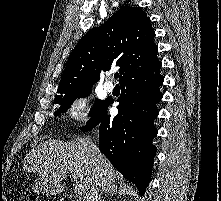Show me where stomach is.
Returning <instances> with one entry per match:
<instances>
[{"label":"stomach","instance_id":"0dacf381","mask_svg":"<svg viewBox=\"0 0 221 201\" xmlns=\"http://www.w3.org/2000/svg\"><path fill=\"white\" fill-rule=\"evenodd\" d=\"M32 189L37 194H53L57 191L50 182L43 178H37L33 183Z\"/></svg>","mask_w":221,"mask_h":201}]
</instances>
